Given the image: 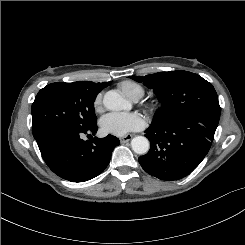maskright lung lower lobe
I'll use <instances>...</instances> for the list:
<instances>
[{
  "mask_svg": "<svg viewBox=\"0 0 245 245\" xmlns=\"http://www.w3.org/2000/svg\"><path fill=\"white\" fill-rule=\"evenodd\" d=\"M97 125L83 131L52 127L36 139L48 167L59 177L72 182H84L102 173L111 159L118 138L108 135L92 141L83 134L97 132Z\"/></svg>",
  "mask_w": 245,
  "mask_h": 245,
  "instance_id": "1",
  "label": "right lung lower lobe"
}]
</instances>
